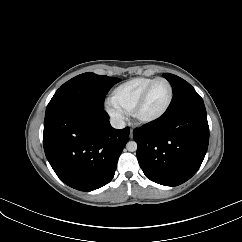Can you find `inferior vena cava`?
<instances>
[{
	"mask_svg": "<svg viewBox=\"0 0 242 242\" xmlns=\"http://www.w3.org/2000/svg\"><path fill=\"white\" fill-rule=\"evenodd\" d=\"M111 126L115 129H123L125 128V121L119 118H113L110 120Z\"/></svg>",
	"mask_w": 242,
	"mask_h": 242,
	"instance_id": "inferior-vena-cava-1",
	"label": "inferior vena cava"
}]
</instances>
